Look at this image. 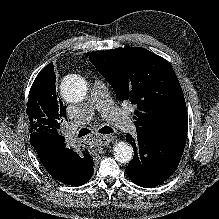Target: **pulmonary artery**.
<instances>
[{
	"label": "pulmonary artery",
	"instance_id": "1",
	"mask_svg": "<svg viewBox=\"0 0 219 219\" xmlns=\"http://www.w3.org/2000/svg\"><path fill=\"white\" fill-rule=\"evenodd\" d=\"M95 111H99L104 119L123 132H132L134 130L131 118L114 104L107 86L101 79H96L92 83L90 97L80 109L78 119L82 122H89Z\"/></svg>",
	"mask_w": 219,
	"mask_h": 219
}]
</instances>
